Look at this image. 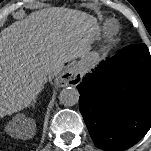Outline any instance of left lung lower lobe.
<instances>
[{"label":"left lung lower lobe","mask_w":151,"mask_h":151,"mask_svg":"<svg viewBox=\"0 0 151 151\" xmlns=\"http://www.w3.org/2000/svg\"><path fill=\"white\" fill-rule=\"evenodd\" d=\"M80 111L96 146L123 151L151 127V55L145 44L124 47L77 86Z\"/></svg>","instance_id":"1"}]
</instances>
